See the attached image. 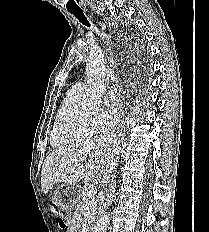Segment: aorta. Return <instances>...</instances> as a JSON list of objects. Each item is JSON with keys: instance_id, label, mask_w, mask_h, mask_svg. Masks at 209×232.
<instances>
[{"instance_id": "obj_1", "label": "aorta", "mask_w": 209, "mask_h": 232, "mask_svg": "<svg viewBox=\"0 0 209 232\" xmlns=\"http://www.w3.org/2000/svg\"><path fill=\"white\" fill-rule=\"evenodd\" d=\"M105 60L99 50L92 51L86 64V97L81 102V107L87 111H97L100 100L104 94ZM109 215L104 213L97 222L95 232H106Z\"/></svg>"}]
</instances>
